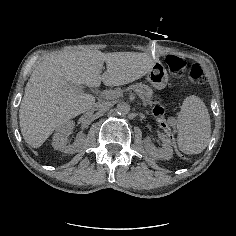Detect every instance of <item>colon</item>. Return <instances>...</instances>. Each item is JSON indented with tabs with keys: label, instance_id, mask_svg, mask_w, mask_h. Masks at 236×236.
<instances>
[{
	"label": "colon",
	"instance_id": "5ec220e1",
	"mask_svg": "<svg viewBox=\"0 0 236 236\" xmlns=\"http://www.w3.org/2000/svg\"><path fill=\"white\" fill-rule=\"evenodd\" d=\"M165 62L169 70L173 74L181 75L188 65V61L184 56L168 54L166 56ZM203 68L200 64L195 63L191 66L188 77L193 83H202L203 80ZM153 116L156 119H162L165 116V107L161 102L154 103Z\"/></svg>",
	"mask_w": 236,
	"mask_h": 236
}]
</instances>
